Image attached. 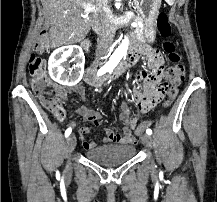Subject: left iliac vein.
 Returning <instances> with one entry per match:
<instances>
[{
	"label": "left iliac vein",
	"instance_id": "4c4485c4",
	"mask_svg": "<svg viewBox=\"0 0 217 202\" xmlns=\"http://www.w3.org/2000/svg\"><path fill=\"white\" fill-rule=\"evenodd\" d=\"M142 142L144 145H146V147H148L149 149L152 148V138L151 136L144 134L141 136Z\"/></svg>",
	"mask_w": 217,
	"mask_h": 202
}]
</instances>
